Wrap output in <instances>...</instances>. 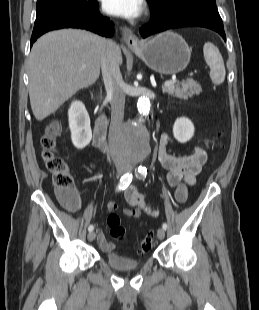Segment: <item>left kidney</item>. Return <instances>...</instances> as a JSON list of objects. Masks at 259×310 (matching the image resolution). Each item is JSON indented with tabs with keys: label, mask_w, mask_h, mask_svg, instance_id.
<instances>
[{
	"label": "left kidney",
	"mask_w": 259,
	"mask_h": 310,
	"mask_svg": "<svg viewBox=\"0 0 259 310\" xmlns=\"http://www.w3.org/2000/svg\"><path fill=\"white\" fill-rule=\"evenodd\" d=\"M194 125L188 118L181 117L176 119L173 126V135L180 143L188 142L194 135Z\"/></svg>",
	"instance_id": "obj_1"
}]
</instances>
